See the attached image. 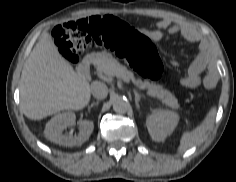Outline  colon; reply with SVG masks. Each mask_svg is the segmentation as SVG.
I'll use <instances>...</instances> for the list:
<instances>
[{
  "label": "colon",
  "instance_id": "1",
  "mask_svg": "<svg viewBox=\"0 0 236 182\" xmlns=\"http://www.w3.org/2000/svg\"><path fill=\"white\" fill-rule=\"evenodd\" d=\"M53 37L60 53L73 64L78 62L84 50L103 46L115 51L143 77L156 80L163 71L152 41L117 17L66 22L54 28Z\"/></svg>",
  "mask_w": 236,
  "mask_h": 182
}]
</instances>
